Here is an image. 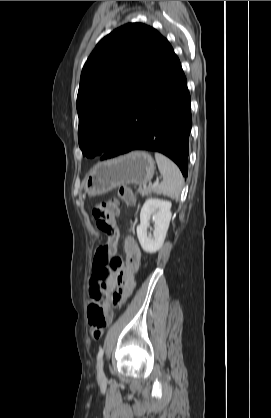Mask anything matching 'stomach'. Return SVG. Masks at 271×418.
I'll return each mask as SVG.
<instances>
[{"label":"stomach","mask_w":271,"mask_h":418,"mask_svg":"<svg viewBox=\"0 0 271 418\" xmlns=\"http://www.w3.org/2000/svg\"><path fill=\"white\" fill-rule=\"evenodd\" d=\"M154 170L150 154L131 152L95 165L86 177L85 192L98 196L122 184L144 185L152 179Z\"/></svg>","instance_id":"stomach-1"}]
</instances>
